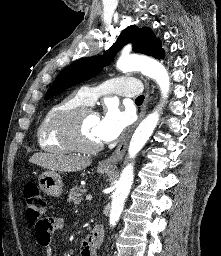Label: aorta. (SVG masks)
Instances as JSON below:
<instances>
[{
    "label": "aorta",
    "instance_id": "762f6f07",
    "mask_svg": "<svg viewBox=\"0 0 221 256\" xmlns=\"http://www.w3.org/2000/svg\"><path fill=\"white\" fill-rule=\"evenodd\" d=\"M117 68L122 72L139 70L144 75L154 79L159 85L162 99L168 97L170 89V79L165 67L155 60H142L133 56L121 57L117 61ZM161 105L152 113L146 116L136 128L128 149L130 159L135 158L138 152L146 144L157 126L160 117ZM133 164L129 163L122 170L120 178L117 182L116 190L112 195V205L109 222L111 226H115L122 213L125 200L129 194L133 184Z\"/></svg>",
    "mask_w": 221,
    "mask_h": 256
}]
</instances>
